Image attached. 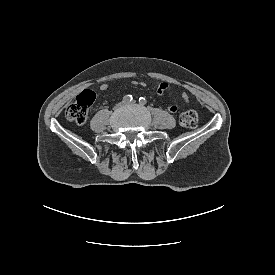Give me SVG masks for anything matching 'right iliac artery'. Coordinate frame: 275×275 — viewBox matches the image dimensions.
Returning <instances> with one entry per match:
<instances>
[{"label": "right iliac artery", "instance_id": "obj_1", "mask_svg": "<svg viewBox=\"0 0 275 275\" xmlns=\"http://www.w3.org/2000/svg\"><path fill=\"white\" fill-rule=\"evenodd\" d=\"M133 100V97H132V95H126V96H124V98H123V102L124 103H129V102H131Z\"/></svg>", "mask_w": 275, "mask_h": 275}]
</instances>
